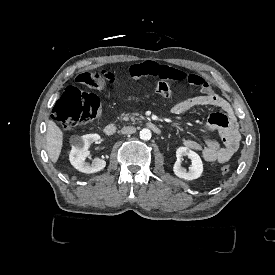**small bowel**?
<instances>
[{
	"label": "small bowel",
	"instance_id": "obj_1",
	"mask_svg": "<svg viewBox=\"0 0 275 275\" xmlns=\"http://www.w3.org/2000/svg\"><path fill=\"white\" fill-rule=\"evenodd\" d=\"M179 70L170 66H160L154 62H145L135 65L132 73L135 77L149 76L154 78H169L174 79L178 75ZM102 79L105 84L112 86L116 84L118 77L115 70H106L102 72ZM183 80L189 78L196 84L203 82V77L200 72L183 71L181 73ZM201 86V95L180 99L174 102L171 107V113L180 116L188 111L202 106H215L222 110L229 119V124L226 127H220L213 123H206L200 128V134L203 138V143L194 139H185L183 144L194 151L201 154L202 158L207 162H228L235 152L239 149L241 135L236 118L235 111L232 105L220 95L214 93L208 83ZM217 131L222 139V144L211 137V133Z\"/></svg>",
	"mask_w": 275,
	"mask_h": 275
}]
</instances>
